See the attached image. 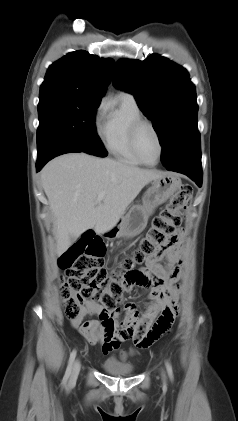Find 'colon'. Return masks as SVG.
<instances>
[{"label": "colon", "instance_id": "5ec220e1", "mask_svg": "<svg viewBox=\"0 0 238 421\" xmlns=\"http://www.w3.org/2000/svg\"><path fill=\"white\" fill-rule=\"evenodd\" d=\"M192 198V188L183 185L175 193L169 204L156 216L138 249L122 262L125 273L107 271L104 267L105 247L101 239L87 233L79 242L71 246L59 257V266L65 278L60 288L64 313L70 320L78 318L85 302H93L102 307L100 320L113 324V312L122 300L124 291L130 290V271L137 264L154 258L160 250L171 244L173 237L181 231V226ZM170 325L149 333L143 345L150 344L168 332ZM122 358L127 352L121 353Z\"/></svg>", "mask_w": 238, "mask_h": 421}]
</instances>
